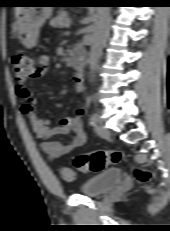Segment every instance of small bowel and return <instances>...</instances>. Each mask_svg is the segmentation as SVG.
<instances>
[{
	"label": "small bowel",
	"instance_id": "c3829d8e",
	"mask_svg": "<svg viewBox=\"0 0 170 231\" xmlns=\"http://www.w3.org/2000/svg\"><path fill=\"white\" fill-rule=\"evenodd\" d=\"M49 66V57L41 56L36 61V75L40 77L45 74ZM75 92L82 94L84 91L83 75L75 76ZM16 93L22 99V113L29 119L32 128L40 141L41 150L48 156L50 161L72 152L81 147L86 141V134L82 126L83 109H79L74 117L61 119L58 126L51 127L50 120L45 117H39L37 114V100L33 96L27 84H17ZM53 106L61 108V104L53 103ZM58 134H70L66 143L50 138Z\"/></svg>",
	"mask_w": 170,
	"mask_h": 231
}]
</instances>
